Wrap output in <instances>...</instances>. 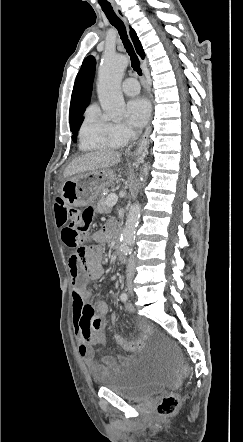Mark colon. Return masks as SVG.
<instances>
[{
	"instance_id": "obj_1",
	"label": "colon",
	"mask_w": 243,
	"mask_h": 442,
	"mask_svg": "<svg viewBox=\"0 0 243 442\" xmlns=\"http://www.w3.org/2000/svg\"><path fill=\"white\" fill-rule=\"evenodd\" d=\"M55 219L57 227L62 228V241L66 247L76 249L71 255L74 260L83 256L84 244L87 241L88 231L93 219L91 208L80 210L70 207L62 197L54 201ZM182 371L188 374L189 368L184 365ZM179 401L176 394H168L158 404L157 411L160 416H169L178 409Z\"/></svg>"
}]
</instances>
